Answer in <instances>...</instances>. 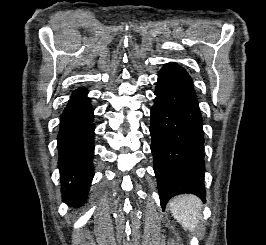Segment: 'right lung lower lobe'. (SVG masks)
Returning a JSON list of instances; mask_svg holds the SVG:
<instances>
[{"mask_svg":"<svg viewBox=\"0 0 266 245\" xmlns=\"http://www.w3.org/2000/svg\"><path fill=\"white\" fill-rule=\"evenodd\" d=\"M87 92L85 88L75 90L60 116L58 168L63 201L71 206L86 202L94 176V109Z\"/></svg>","mask_w":266,"mask_h":245,"instance_id":"98d812e1","label":"right lung lower lobe"}]
</instances>
